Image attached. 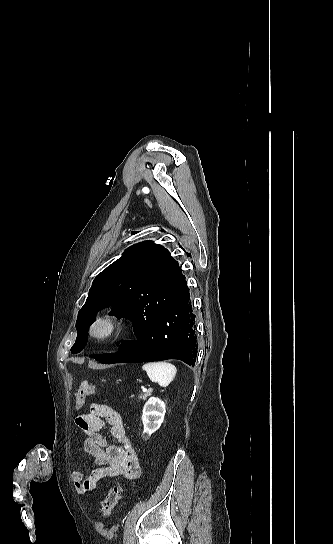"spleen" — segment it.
<instances>
[{
  "mask_svg": "<svg viewBox=\"0 0 333 544\" xmlns=\"http://www.w3.org/2000/svg\"><path fill=\"white\" fill-rule=\"evenodd\" d=\"M152 382H157L160 386H168L176 376V367L168 362H148L142 366Z\"/></svg>",
  "mask_w": 333,
  "mask_h": 544,
  "instance_id": "spleen-1",
  "label": "spleen"
}]
</instances>
